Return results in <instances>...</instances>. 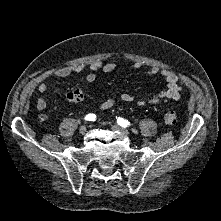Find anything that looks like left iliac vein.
<instances>
[{
    "mask_svg": "<svg viewBox=\"0 0 221 221\" xmlns=\"http://www.w3.org/2000/svg\"><path fill=\"white\" fill-rule=\"evenodd\" d=\"M111 128H112V130L118 131V132L122 133L123 135H129V131L119 125H112Z\"/></svg>",
    "mask_w": 221,
    "mask_h": 221,
    "instance_id": "4c4485c4",
    "label": "left iliac vein"
}]
</instances>
